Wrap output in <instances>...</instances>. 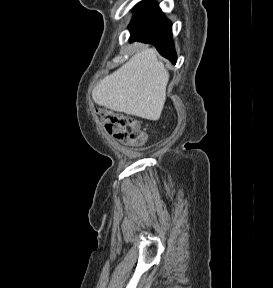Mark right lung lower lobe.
<instances>
[{"mask_svg":"<svg viewBox=\"0 0 273 288\" xmlns=\"http://www.w3.org/2000/svg\"><path fill=\"white\" fill-rule=\"evenodd\" d=\"M135 9L136 13L128 27L130 42L153 44L162 56L175 64L177 58L172 40V24L158 4L152 0H144L138 3Z\"/></svg>","mask_w":273,"mask_h":288,"instance_id":"98d812e1","label":"right lung lower lobe"}]
</instances>
